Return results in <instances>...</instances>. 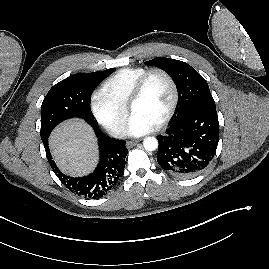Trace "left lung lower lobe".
Instances as JSON below:
<instances>
[{
  "instance_id": "obj_1",
  "label": "left lung lower lobe",
  "mask_w": 269,
  "mask_h": 269,
  "mask_svg": "<svg viewBox=\"0 0 269 269\" xmlns=\"http://www.w3.org/2000/svg\"><path fill=\"white\" fill-rule=\"evenodd\" d=\"M218 140L216 109H195L176 119L166 135L158 136V164L172 176L194 177L213 159Z\"/></svg>"
}]
</instances>
